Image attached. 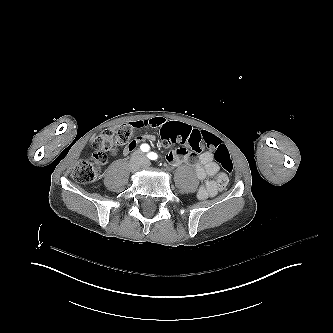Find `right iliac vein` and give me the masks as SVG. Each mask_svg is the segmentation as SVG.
I'll return each mask as SVG.
<instances>
[{"label":"right iliac vein","mask_w":333,"mask_h":333,"mask_svg":"<svg viewBox=\"0 0 333 333\" xmlns=\"http://www.w3.org/2000/svg\"><path fill=\"white\" fill-rule=\"evenodd\" d=\"M136 155H139L140 158H143V159H144V156L142 155L141 152L136 153ZM131 167H132V169L135 171V170H137V169L139 168V163H138V164H132Z\"/></svg>","instance_id":"right-iliac-vein-1"}]
</instances>
